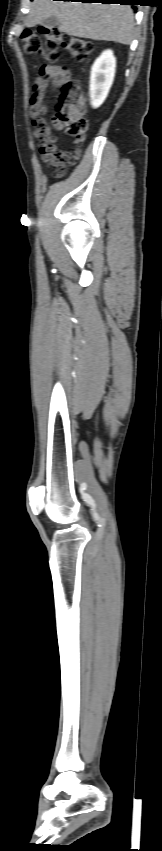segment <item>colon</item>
<instances>
[{
  "mask_svg": "<svg viewBox=\"0 0 162 851\" xmlns=\"http://www.w3.org/2000/svg\"><path fill=\"white\" fill-rule=\"evenodd\" d=\"M23 49L27 54H41L50 61L59 58L63 50L79 62L86 61L93 51L92 42L61 31L57 27H43L39 32L27 30L22 35ZM85 96L79 83L69 80L63 87L57 104L56 121L62 129L74 138L75 147L67 160L55 168V175L62 177L67 167L77 163L80 157L79 146L83 143L87 130L85 117Z\"/></svg>",
  "mask_w": 162,
  "mask_h": 851,
  "instance_id": "obj_1",
  "label": "colon"
}]
</instances>
